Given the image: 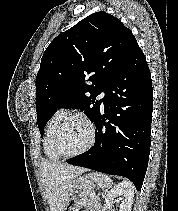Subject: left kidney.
Here are the masks:
<instances>
[{
    "label": "left kidney",
    "instance_id": "left-kidney-1",
    "mask_svg": "<svg viewBox=\"0 0 178 211\" xmlns=\"http://www.w3.org/2000/svg\"><path fill=\"white\" fill-rule=\"evenodd\" d=\"M121 197V204L119 206V211H131L133 197H134V188L131 182L123 181L106 194L105 197V206L106 208H111L114 204L115 198Z\"/></svg>",
    "mask_w": 178,
    "mask_h": 211
}]
</instances>
